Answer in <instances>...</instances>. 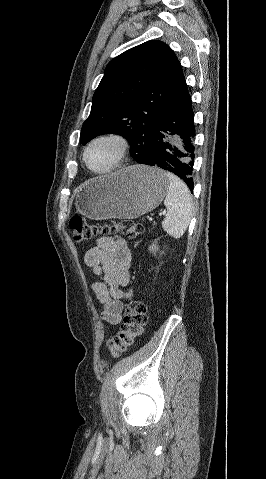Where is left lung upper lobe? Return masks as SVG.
I'll return each instance as SVG.
<instances>
[{"instance_id":"left-lung-upper-lobe-1","label":"left lung upper lobe","mask_w":266,"mask_h":479,"mask_svg":"<svg viewBox=\"0 0 266 479\" xmlns=\"http://www.w3.org/2000/svg\"><path fill=\"white\" fill-rule=\"evenodd\" d=\"M184 81L179 60L161 41H147L120 54L108 63L93 95L81 143L102 134H118L130 143L131 156L144 163L158 123Z\"/></svg>"}]
</instances>
